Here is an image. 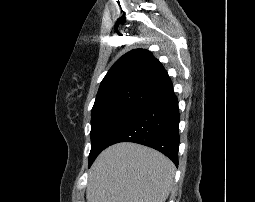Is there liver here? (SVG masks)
<instances>
[{"label": "liver", "instance_id": "6515ba94", "mask_svg": "<svg viewBox=\"0 0 255 202\" xmlns=\"http://www.w3.org/2000/svg\"><path fill=\"white\" fill-rule=\"evenodd\" d=\"M175 165L162 153L136 143L105 149L88 176L87 202H165Z\"/></svg>", "mask_w": 255, "mask_h": 202}]
</instances>
